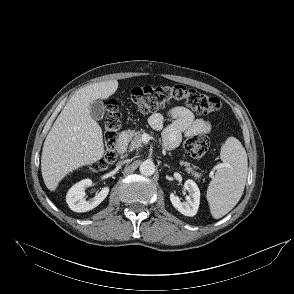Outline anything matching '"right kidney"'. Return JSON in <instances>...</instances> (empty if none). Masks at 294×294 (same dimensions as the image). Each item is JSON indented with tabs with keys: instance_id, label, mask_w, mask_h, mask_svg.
<instances>
[{
	"instance_id": "1",
	"label": "right kidney",
	"mask_w": 294,
	"mask_h": 294,
	"mask_svg": "<svg viewBox=\"0 0 294 294\" xmlns=\"http://www.w3.org/2000/svg\"><path fill=\"white\" fill-rule=\"evenodd\" d=\"M92 185V180L84 179L73 185L67 195L66 202L69 208L75 212H87L97 207L108 195L109 187H104L102 190L93 198L85 199V189Z\"/></svg>"
}]
</instances>
